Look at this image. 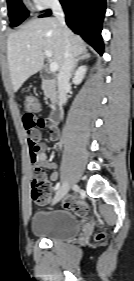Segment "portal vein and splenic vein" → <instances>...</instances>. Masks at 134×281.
<instances>
[{"instance_id":"1","label":"portal vein and splenic vein","mask_w":134,"mask_h":281,"mask_svg":"<svg viewBox=\"0 0 134 281\" xmlns=\"http://www.w3.org/2000/svg\"><path fill=\"white\" fill-rule=\"evenodd\" d=\"M45 55H46V57L51 58L52 57V52L49 51V50H45ZM57 70H58V64L56 62H51L50 63V71L51 72H55Z\"/></svg>"}]
</instances>
